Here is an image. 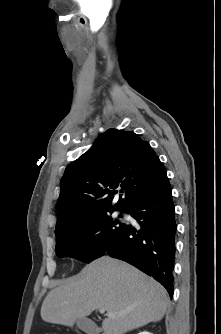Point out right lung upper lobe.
<instances>
[{
  "label": "right lung upper lobe",
  "instance_id": "obj_1",
  "mask_svg": "<svg viewBox=\"0 0 221 334\" xmlns=\"http://www.w3.org/2000/svg\"><path fill=\"white\" fill-rule=\"evenodd\" d=\"M166 177L164 165L147 141L134 132L109 129L69 164L62 177L55 234L115 209L128 211ZM125 198L111 208L114 189Z\"/></svg>",
  "mask_w": 221,
  "mask_h": 334
}]
</instances>
